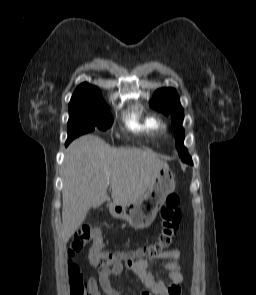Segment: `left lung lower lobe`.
<instances>
[{
    "label": "left lung lower lobe",
    "instance_id": "0a47b994",
    "mask_svg": "<svg viewBox=\"0 0 256 295\" xmlns=\"http://www.w3.org/2000/svg\"><path fill=\"white\" fill-rule=\"evenodd\" d=\"M187 163H191L192 164V159L191 157L188 155V158H187Z\"/></svg>",
    "mask_w": 256,
    "mask_h": 295
}]
</instances>
